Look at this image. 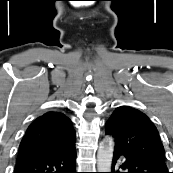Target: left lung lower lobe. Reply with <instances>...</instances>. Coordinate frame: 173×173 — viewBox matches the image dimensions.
Wrapping results in <instances>:
<instances>
[{"label":"left lung lower lobe","instance_id":"obj_1","mask_svg":"<svg viewBox=\"0 0 173 173\" xmlns=\"http://www.w3.org/2000/svg\"><path fill=\"white\" fill-rule=\"evenodd\" d=\"M121 156L125 160L121 165H118V159ZM120 169L127 170L126 173H169L168 168L165 166H161L134 154L114 150L111 173H122Z\"/></svg>","mask_w":173,"mask_h":173}]
</instances>
